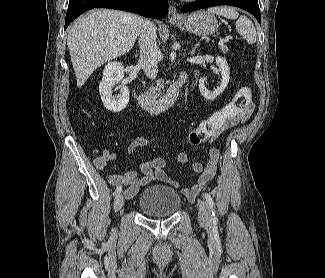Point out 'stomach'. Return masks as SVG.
Listing matches in <instances>:
<instances>
[{
  "instance_id": "obj_1",
  "label": "stomach",
  "mask_w": 325,
  "mask_h": 278,
  "mask_svg": "<svg viewBox=\"0 0 325 278\" xmlns=\"http://www.w3.org/2000/svg\"><path fill=\"white\" fill-rule=\"evenodd\" d=\"M173 24L185 31L201 36L211 35L218 29L215 16L203 10L193 12L179 21H174Z\"/></svg>"
}]
</instances>
